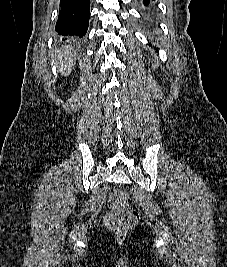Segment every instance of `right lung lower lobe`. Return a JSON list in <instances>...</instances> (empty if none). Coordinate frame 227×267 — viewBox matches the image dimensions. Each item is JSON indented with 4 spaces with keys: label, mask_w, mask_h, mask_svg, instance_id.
<instances>
[{
    "label": "right lung lower lobe",
    "mask_w": 227,
    "mask_h": 267,
    "mask_svg": "<svg viewBox=\"0 0 227 267\" xmlns=\"http://www.w3.org/2000/svg\"><path fill=\"white\" fill-rule=\"evenodd\" d=\"M90 0H60L59 16L55 30L62 41L77 43L89 24Z\"/></svg>",
    "instance_id": "1"
}]
</instances>
